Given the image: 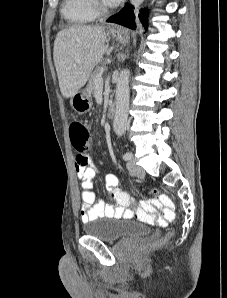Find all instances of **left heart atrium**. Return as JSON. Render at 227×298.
<instances>
[{"label":"left heart atrium","mask_w":227,"mask_h":298,"mask_svg":"<svg viewBox=\"0 0 227 298\" xmlns=\"http://www.w3.org/2000/svg\"><path fill=\"white\" fill-rule=\"evenodd\" d=\"M104 4L109 6H116L118 5L122 0H102Z\"/></svg>","instance_id":"obj_1"}]
</instances>
